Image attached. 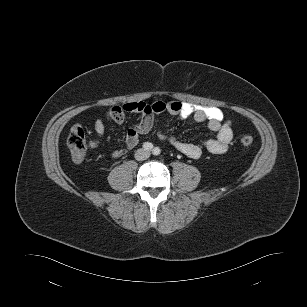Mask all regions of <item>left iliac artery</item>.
<instances>
[{"mask_svg":"<svg viewBox=\"0 0 307 307\" xmlns=\"http://www.w3.org/2000/svg\"><path fill=\"white\" fill-rule=\"evenodd\" d=\"M160 152H161V150H160L158 147H155V148L153 149V154H154V155H159Z\"/></svg>","mask_w":307,"mask_h":307,"instance_id":"1","label":"left iliac artery"}]
</instances>
